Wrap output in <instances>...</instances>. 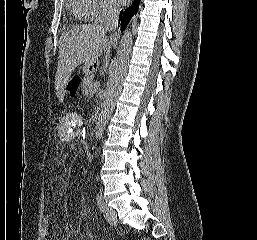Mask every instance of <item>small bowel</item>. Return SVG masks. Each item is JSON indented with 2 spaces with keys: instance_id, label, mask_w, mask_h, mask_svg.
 <instances>
[{
  "instance_id": "1",
  "label": "small bowel",
  "mask_w": 257,
  "mask_h": 240,
  "mask_svg": "<svg viewBox=\"0 0 257 240\" xmlns=\"http://www.w3.org/2000/svg\"><path fill=\"white\" fill-rule=\"evenodd\" d=\"M77 236V232L72 230L68 225H65L60 232L61 238H54L53 240H74Z\"/></svg>"
}]
</instances>
